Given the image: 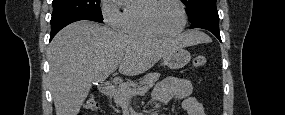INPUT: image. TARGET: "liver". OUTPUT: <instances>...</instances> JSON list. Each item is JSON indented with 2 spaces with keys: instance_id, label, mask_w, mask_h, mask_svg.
I'll list each match as a JSON object with an SVG mask.
<instances>
[{
  "instance_id": "liver-1",
  "label": "liver",
  "mask_w": 285,
  "mask_h": 115,
  "mask_svg": "<svg viewBox=\"0 0 285 115\" xmlns=\"http://www.w3.org/2000/svg\"><path fill=\"white\" fill-rule=\"evenodd\" d=\"M201 42L205 41L198 31L152 39L117 33L84 20L66 26L47 52L56 115H78L91 83H103L117 68L123 75H139L172 50Z\"/></svg>"
}]
</instances>
